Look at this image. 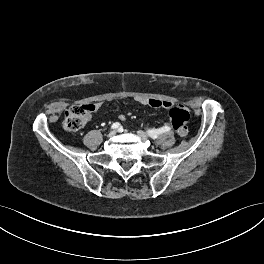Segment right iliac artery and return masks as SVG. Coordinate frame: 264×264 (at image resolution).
<instances>
[{
  "mask_svg": "<svg viewBox=\"0 0 264 264\" xmlns=\"http://www.w3.org/2000/svg\"><path fill=\"white\" fill-rule=\"evenodd\" d=\"M111 128H112V129H119V128H121V125H120V123L115 122V123H113V124L111 125Z\"/></svg>",
  "mask_w": 264,
  "mask_h": 264,
  "instance_id": "obj_1",
  "label": "right iliac artery"
}]
</instances>
